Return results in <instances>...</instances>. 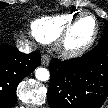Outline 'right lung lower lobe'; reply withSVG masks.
<instances>
[{"label":"right lung lower lobe","instance_id":"right-lung-lower-lobe-1","mask_svg":"<svg viewBox=\"0 0 108 108\" xmlns=\"http://www.w3.org/2000/svg\"><path fill=\"white\" fill-rule=\"evenodd\" d=\"M40 64L39 52L23 54L10 45L0 46V108H10L16 103L19 82Z\"/></svg>","mask_w":108,"mask_h":108}]
</instances>
